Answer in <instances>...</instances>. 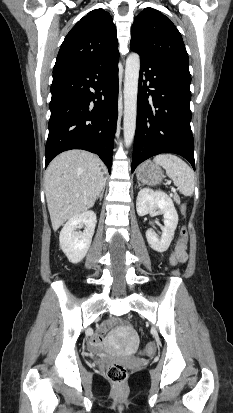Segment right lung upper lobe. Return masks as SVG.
Segmentation results:
<instances>
[{
	"mask_svg": "<svg viewBox=\"0 0 233 413\" xmlns=\"http://www.w3.org/2000/svg\"><path fill=\"white\" fill-rule=\"evenodd\" d=\"M119 54L116 28L110 14L95 9L70 30L62 43L53 74Z\"/></svg>",
	"mask_w": 233,
	"mask_h": 413,
	"instance_id": "right-lung-upper-lobe-1",
	"label": "right lung upper lobe"
}]
</instances>
